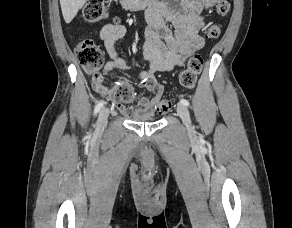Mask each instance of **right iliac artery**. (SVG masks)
Masks as SVG:
<instances>
[{"label":"right iliac artery","mask_w":292,"mask_h":228,"mask_svg":"<svg viewBox=\"0 0 292 228\" xmlns=\"http://www.w3.org/2000/svg\"><path fill=\"white\" fill-rule=\"evenodd\" d=\"M104 105V101H100L96 106H95V109H94V115H96L100 109L103 107Z\"/></svg>","instance_id":"82829eb1"}]
</instances>
